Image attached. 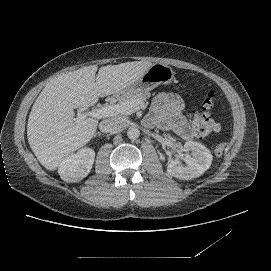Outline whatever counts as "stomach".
<instances>
[{
    "label": "stomach",
    "instance_id": "0dacf381",
    "mask_svg": "<svg viewBox=\"0 0 271 271\" xmlns=\"http://www.w3.org/2000/svg\"><path fill=\"white\" fill-rule=\"evenodd\" d=\"M173 77L172 69L168 65L153 64L135 82L129 84L124 91L115 95L117 98H121L125 94L147 93L160 84L169 83Z\"/></svg>",
    "mask_w": 271,
    "mask_h": 271
}]
</instances>
